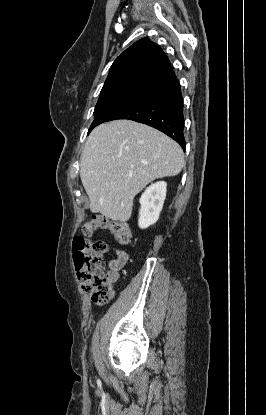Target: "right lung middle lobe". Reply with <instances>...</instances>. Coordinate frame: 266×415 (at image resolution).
<instances>
[{
  "label": "right lung middle lobe",
  "instance_id": "1",
  "mask_svg": "<svg viewBox=\"0 0 266 415\" xmlns=\"http://www.w3.org/2000/svg\"><path fill=\"white\" fill-rule=\"evenodd\" d=\"M149 93L138 90H113L100 94L94 110V121L92 122L88 134L97 125L106 122L115 113L140 101Z\"/></svg>",
  "mask_w": 266,
  "mask_h": 415
}]
</instances>
